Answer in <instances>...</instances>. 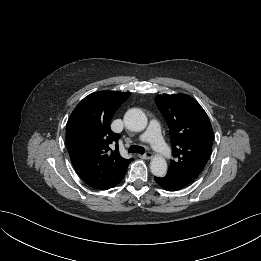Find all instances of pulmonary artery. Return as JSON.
Returning a JSON list of instances; mask_svg holds the SVG:
<instances>
[{"instance_id":"1","label":"pulmonary artery","mask_w":261,"mask_h":261,"mask_svg":"<svg viewBox=\"0 0 261 261\" xmlns=\"http://www.w3.org/2000/svg\"><path fill=\"white\" fill-rule=\"evenodd\" d=\"M140 140L149 142L153 149L161 156L168 158L170 150L165 144L162 136L159 123L152 120L144 134L140 136Z\"/></svg>"}]
</instances>
